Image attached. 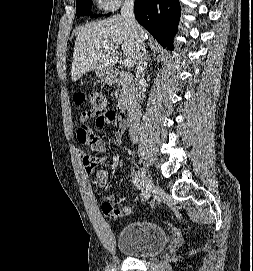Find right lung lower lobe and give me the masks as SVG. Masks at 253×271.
<instances>
[{
	"mask_svg": "<svg viewBox=\"0 0 253 271\" xmlns=\"http://www.w3.org/2000/svg\"><path fill=\"white\" fill-rule=\"evenodd\" d=\"M134 11L136 20L171 50L181 12L179 0H136Z\"/></svg>",
	"mask_w": 253,
	"mask_h": 271,
	"instance_id": "right-lung-lower-lobe-1",
	"label": "right lung lower lobe"
}]
</instances>
